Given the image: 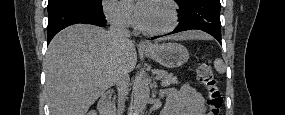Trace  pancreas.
I'll use <instances>...</instances> for the list:
<instances>
[{
  "instance_id": "1",
  "label": "pancreas",
  "mask_w": 285,
  "mask_h": 115,
  "mask_svg": "<svg viewBox=\"0 0 285 115\" xmlns=\"http://www.w3.org/2000/svg\"><path fill=\"white\" fill-rule=\"evenodd\" d=\"M155 73L157 74V76L160 77L162 81V86L164 87L170 86L171 84L178 83L176 76H173L172 74H169L165 72L164 70H156Z\"/></svg>"
}]
</instances>
